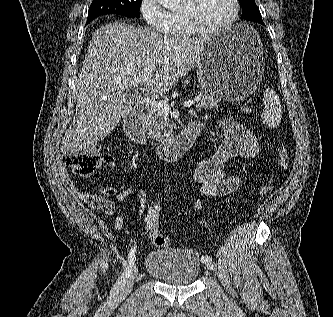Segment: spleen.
<instances>
[{"instance_id":"obj_1","label":"spleen","mask_w":333,"mask_h":317,"mask_svg":"<svg viewBox=\"0 0 333 317\" xmlns=\"http://www.w3.org/2000/svg\"><path fill=\"white\" fill-rule=\"evenodd\" d=\"M264 110L261 114V119L264 125L275 128L277 127L282 118L281 102L277 93L267 88L263 93Z\"/></svg>"}]
</instances>
